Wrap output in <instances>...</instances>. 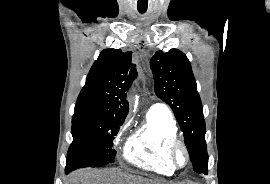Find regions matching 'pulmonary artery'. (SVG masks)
<instances>
[{"instance_id": "1", "label": "pulmonary artery", "mask_w": 270, "mask_h": 184, "mask_svg": "<svg viewBox=\"0 0 270 184\" xmlns=\"http://www.w3.org/2000/svg\"><path fill=\"white\" fill-rule=\"evenodd\" d=\"M155 106H163V105L160 104V103H156V104H154L152 107H155Z\"/></svg>"}]
</instances>
